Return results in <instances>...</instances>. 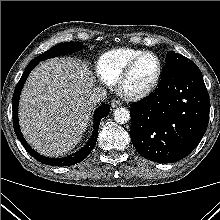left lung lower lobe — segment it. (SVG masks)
<instances>
[{
  "mask_svg": "<svg viewBox=\"0 0 220 220\" xmlns=\"http://www.w3.org/2000/svg\"><path fill=\"white\" fill-rule=\"evenodd\" d=\"M131 140L144 158L170 163L189 155L209 121V95L191 60L167 64L158 89L130 108Z\"/></svg>",
  "mask_w": 220,
  "mask_h": 220,
  "instance_id": "left-lung-lower-lobe-1",
  "label": "left lung lower lobe"
}]
</instances>
